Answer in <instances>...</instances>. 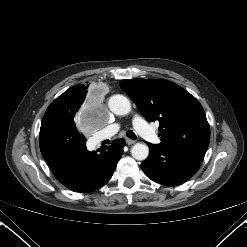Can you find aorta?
<instances>
[{"label":"aorta","mask_w":247,"mask_h":247,"mask_svg":"<svg viewBox=\"0 0 247 247\" xmlns=\"http://www.w3.org/2000/svg\"><path fill=\"white\" fill-rule=\"evenodd\" d=\"M109 109L116 115H127L131 111V103L123 95L116 94L110 97L108 101ZM131 155L134 159L143 161L149 155V148L146 144L136 143L131 149Z\"/></svg>","instance_id":"aorta-1"}]
</instances>
